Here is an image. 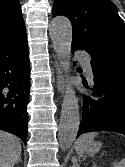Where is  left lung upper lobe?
<instances>
[{"mask_svg":"<svg viewBox=\"0 0 125 167\" xmlns=\"http://www.w3.org/2000/svg\"><path fill=\"white\" fill-rule=\"evenodd\" d=\"M53 16L63 15L72 24V45L91 57L113 56L125 63V24L110 0H55Z\"/></svg>","mask_w":125,"mask_h":167,"instance_id":"left-lung-upper-lobe-1","label":"left lung upper lobe"}]
</instances>
